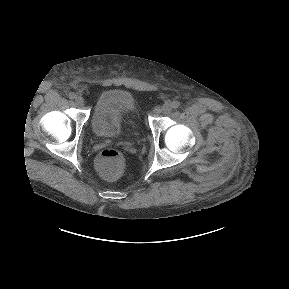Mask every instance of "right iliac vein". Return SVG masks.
<instances>
[{
    "mask_svg": "<svg viewBox=\"0 0 289 289\" xmlns=\"http://www.w3.org/2000/svg\"><path fill=\"white\" fill-rule=\"evenodd\" d=\"M75 103L79 106H83L84 105V99L81 96H76Z\"/></svg>",
    "mask_w": 289,
    "mask_h": 289,
    "instance_id": "obj_1",
    "label": "right iliac vein"
}]
</instances>
